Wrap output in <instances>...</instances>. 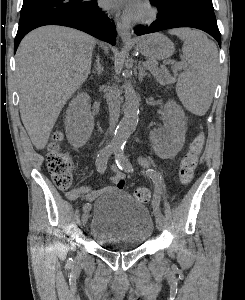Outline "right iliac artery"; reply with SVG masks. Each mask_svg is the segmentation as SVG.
Wrapping results in <instances>:
<instances>
[{"label": "right iliac artery", "mask_w": 245, "mask_h": 300, "mask_svg": "<svg viewBox=\"0 0 245 300\" xmlns=\"http://www.w3.org/2000/svg\"><path fill=\"white\" fill-rule=\"evenodd\" d=\"M114 151H115V147L112 145H108L99 152L96 158V167L98 172L103 173L105 171L107 167V161ZM90 208L91 205L89 203H86L83 206V211L89 210Z\"/></svg>", "instance_id": "82829eb1"}]
</instances>
